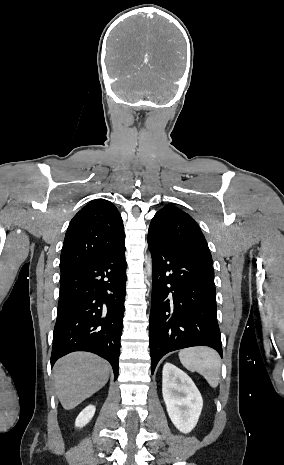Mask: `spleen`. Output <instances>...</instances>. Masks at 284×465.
Wrapping results in <instances>:
<instances>
[{"instance_id":"1","label":"spleen","mask_w":284,"mask_h":465,"mask_svg":"<svg viewBox=\"0 0 284 465\" xmlns=\"http://www.w3.org/2000/svg\"><path fill=\"white\" fill-rule=\"evenodd\" d=\"M179 359L188 371L200 373L210 387L216 389L220 381L221 359L213 349L209 347H191L182 349Z\"/></svg>"}]
</instances>
